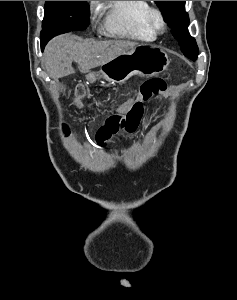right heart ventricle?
<instances>
[{
  "label": "right heart ventricle",
  "mask_w": 237,
  "mask_h": 300,
  "mask_svg": "<svg viewBox=\"0 0 237 300\" xmlns=\"http://www.w3.org/2000/svg\"><path fill=\"white\" fill-rule=\"evenodd\" d=\"M147 1H108L102 18L103 30L112 36L151 39L146 22Z\"/></svg>",
  "instance_id": "e07e8e85"
}]
</instances>
